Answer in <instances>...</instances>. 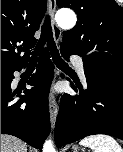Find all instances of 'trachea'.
I'll list each match as a JSON object with an SVG mask.
<instances>
[{
  "instance_id": "3493384b",
  "label": "trachea",
  "mask_w": 123,
  "mask_h": 152,
  "mask_svg": "<svg viewBox=\"0 0 123 152\" xmlns=\"http://www.w3.org/2000/svg\"><path fill=\"white\" fill-rule=\"evenodd\" d=\"M47 42V45L50 49L52 59L54 63L59 67V68H69L67 63L62 60L61 56L59 55L58 49L55 45V42L53 40V35H52V29L50 25V17L47 15L45 17L44 24L42 26V34L41 38L36 46V49L39 50L45 43ZM37 62V57L33 56L30 63L35 64Z\"/></svg>"
}]
</instances>
